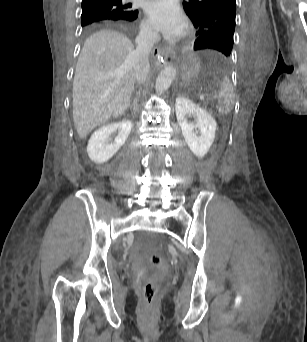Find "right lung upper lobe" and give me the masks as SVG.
Returning <instances> with one entry per match:
<instances>
[{"instance_id":"obj_1","label":"right lung upper lobe","mask_w":307,"mask_h":342,"mask_svg":"<svg viewBox=\"0 0 307 342\" xmlns=\"http://www.w3.org/2000/svg\"><path fill=\"white\" fill-rule=\"evenodd\" d=\"M87 9H109L115 11L116 15L82 26L83 32L105 25L129 28L138 16V10L131 9V5L125 4L122 0H83L82 10Z\"/></svg>"}]
</instances>
